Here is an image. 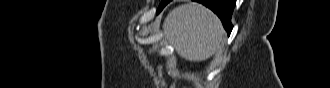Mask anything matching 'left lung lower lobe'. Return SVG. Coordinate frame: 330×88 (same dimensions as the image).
Masks as SVG:
<instances>
[{"mask_svg":"<svg viewBox=\"0 0 330 88\" xmlns=\"http://www.w3.org/2000/svg\"><path fill=\"white\" fill-rule=\"evenodd\" d=\"M171 0H162L158 9L157 14H159L162 9L170 2ZM199 2L209 9H211L222 21V24L230 35L232 31L231 17L235 7L236 0H193Z\"/></svg>","mask_w":330,"mask_h":88,"instance_id":"obj_1","label":"left lung lower lobe"}]
</instances>
